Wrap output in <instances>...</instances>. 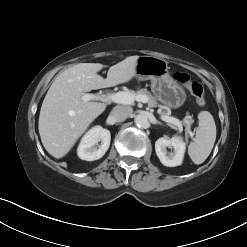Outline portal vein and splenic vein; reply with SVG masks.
<instances>
[{
    "label": "portal vein and splenic vein",
    "mask_w": 247,
    "mask_h": 247,
    "mask_svg": "<svg viewBox=\"0 0 247 247\" xmlns=\"http://www.w3.org/2000/svg\"><path fill=\"white\" fill-rule=\"evenodd\" d=\"M82 100L84 102H88L91 100H96V101H103V102H114V103H118V104H127V105H131L134 103V101H138V102H143L146 103L147 102V98L145 96H134L131 93H127V92H117V93H111V94H107V95H97V94H84L82 96ZM161 120L167 122V123H171L175 126L178 127L179 131L182 132L183 128H182V121H180L177 118L174 117H168V116H164L161 115L160 116ZM191 136H193V133L190 131V128L187 130Z\"/></svg>",
    "instance_id": "18ae733b"
}]
</instances>
